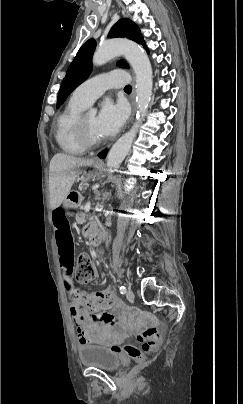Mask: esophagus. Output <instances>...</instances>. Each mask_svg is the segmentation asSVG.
<instances>
[{
  "label": "esophagus",
  "instance_id": "esophagus-1",
  "mask_svg": "<svg viewBox=\"0 0 243 404\" xmlns=\"http://www.w3.org/2000/svg\"><path fill=\"white\" fill-rule=\"evenodd\" d=\"M131 103H132V116H131L130 122H132V120L134 119L135 112H136V88H135L134 78H133V90H132V94H131ZM96 162H100V161L97 160Z\"/></svg>",
  "mask_w": 243,
  "mask_h": 404
}]
</instances>
